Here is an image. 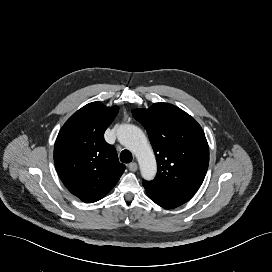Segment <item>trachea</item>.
<instances>
[{
  "label": "trachea",
  "mask_w": 272,
  "mask_h": 272,
  "mask_svg": "<svg viewBox=\"0 0 272 272\" xmlns=\"http://www.w3.org/2000/svg\"><path fill=\"white\" fill-rule=\"evenodd\" d=\"M120 160L123 163H130L132 161V154L128 150H123L120 154Z\"/></svg>",
  "instance_id": "1"
}]
</instances>
